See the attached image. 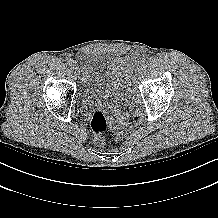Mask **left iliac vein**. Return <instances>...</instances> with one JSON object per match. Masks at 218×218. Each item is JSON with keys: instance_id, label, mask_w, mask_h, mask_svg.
<instances>
[{"instance_id": "1", "label": "left iliac vein", "mask_w": 218, "mask_h": 218, "mask_svg": "<svg viewBox=\"0 0 218 218\" xmlns=\"http://www.w3.org/2000/svg\"><path fill=\"white\" fill-rule=\"evenodd\" d=\"M142 68L141 64L137 65V68L133 69V72L131 73V75L134 77L136 75V73Z\"/></svg>"}]
</instances>
